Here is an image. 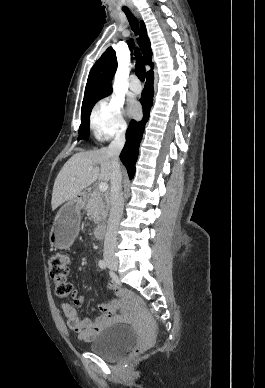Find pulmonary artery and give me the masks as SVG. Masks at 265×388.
<instances>
[{
  "label": "pulmonary artery",
  "instance_id": "e3ab8cb5",
  "mask_svg": "<svg viewBox=\"0 0 265 388\" xmlns=\"http://www.w3.org/2000/svg\"><path fill=\"white\" fill-rule=\"evenodd\" d=\"M129 85L128 88L129 90H134L135 94H139L141 91L140 88V76L139 75H130L129 76Z\"/></svg>",
  "mask_w": 265,
  "mask_h": 388
}]
</instances>
